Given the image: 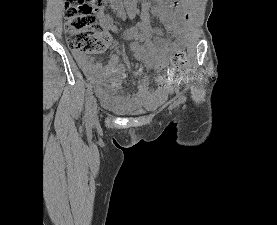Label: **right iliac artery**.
Returning a JSON list of instances; mask_svg holds the SVG:
<instances>
[{"label":"right iliac artery","mask_w":277,"mask_h":225,"mask_svg":"<svg viewBox=\"0 0 277 225\" xmlns=\"http://www.w3.org/2000/svg\"><path fill=\"white\" fill-rule=\"evenodd\" d=\"M93 98V92L92 88L89 87L86 92V110H85V120L89 121L90 120V107H91V100Z\"/></svg>","instance_id":"obj_1"}]
</instances>
